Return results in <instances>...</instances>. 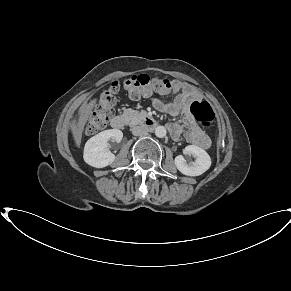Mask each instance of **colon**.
<instances>
[{"label": "colon", "instance_id": "obj_1", "mask_svg": "<svg viewBox=\"0 0 291 291\" xmlns=\"http://www.w3.org/2000/svg\"><path fill=\"white\" fill-rule=\"evenodd\" d=\"M168 86V81L147 74L130 76L123 80V87L132 99L151 96L161 92ZM119 83L113 82L108 88L102 90L95 104H90L86 112L85 131L94 134L103 130L115 113L116 93ZM194 118L204 127H211L215 114L206 101H194L190 107Z\"/></svg>", "mask_w": 291, "mask_h": 291}]
</instances>
